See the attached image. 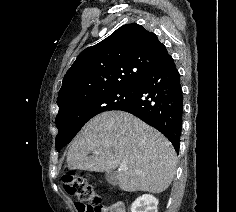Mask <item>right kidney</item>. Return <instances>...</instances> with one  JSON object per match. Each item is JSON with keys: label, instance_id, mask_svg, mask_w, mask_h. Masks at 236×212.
I'll list each match as a JSON object with an SVG mask.
<instances>
[{"label": "right kidney", "instance_id": "1", "mask_svg": "<svg viewBox=\"0 0 236 212\" xmlns=\"http://www.w3.org/2000/svg\"><path fill=\"white\" fill-rule=\"evenodd\" d=\"M158 199L150 194L138 197L131 205V212H158Z\"/></svg>", "mask_w": 236, "mask_h": 212}]
</instances>
